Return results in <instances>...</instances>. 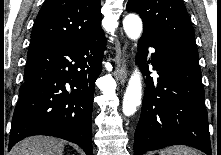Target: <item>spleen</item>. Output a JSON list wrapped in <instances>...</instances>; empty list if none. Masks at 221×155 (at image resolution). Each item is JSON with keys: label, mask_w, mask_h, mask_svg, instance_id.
Returning <instances> with one entry per match:
<instances>
[{"label": "spleen", "mask_w": 221, "mask_h": 155, "mask_svg": "<svg viewBox=\"0 0 221 155\" xmlns=\"http://www.w3.org/2000/svg\"><path fill=\"white\" fill-rule=\"evenodd\" d=\"M160 155H200V152L188 146H172L160 152Z\"/></svg>", "instance_id": "1"}]
</instances>
